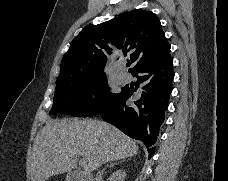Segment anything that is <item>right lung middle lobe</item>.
Wrapping results in <instances>:
<instances>
[{"mask_svg":"<svg viewBox=\"0 0 228 181\" xmlns=\"http://www.w3.org/2000/svg\"><path fill=\"white\" fill-rule=\"evenodd\" d=\"M94 92L99 94L96 100L90 98ZM120 95L121 92H110L106 77L59 84L56 86L50 113L59 112L75 117L99 115Z\"/></svg>","mask_w":228,"mask_h":181,"instance_id":"dd1d6c3e","label":"right lung middle lobe"}]
</instances>
